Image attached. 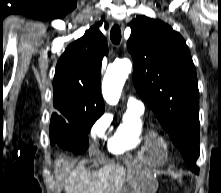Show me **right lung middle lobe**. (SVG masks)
<instances>
[{"instance_id": "right-lung-middle-lobe-1", "label": "right lung middle lobe", "mask_w": 221, "mask_h": 193, "mask_svg": "<svg viewBox=\"0 0 221 193\" xmlns=\"http://www.w3.org/2000/svg\"><path fill=\"white\" fill-rule=\"evenodd\" d=\"M101 114L84 117L51 118L50 142L75 153H83L88 147L87 132Z\"/></svg>"}]
</instances>
